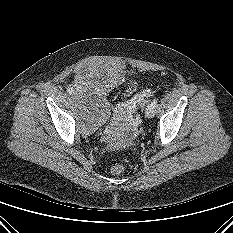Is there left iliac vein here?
I'll return each instance as SVG.
<instances>
[{
	"label": "left iliac vein",
	"mask_w": 233,
	"mask_h": 233,
	"mask_svg": "<svg viewBox=\"0 0 233 233\" xmlns=\"http://www.w3.org/2000/svg\"><path fill=\"white\" fill-rule=\"evenodd\" d=\"M154 108L151 106V104H149L146 108V111H145V115L147 118H153L154 116Z\"/></svg>",
	"instance_id": "1"
}]
</instances>
